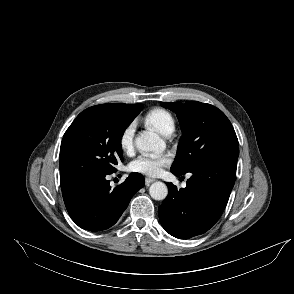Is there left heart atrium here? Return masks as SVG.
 <instances>
[{
	"mask_svg": "<svg viewBox=\"0 0 294 294\" xmlns=\"http://www.w3.org/2000/svg\"><path fill=\"white\" fill-rule=\"evenodd\" d=\"M170 159L167 155H141L129 164L132 172L147 175L158 176L161 174L164 166L168 165Z\"/></svg>",
	"mask_w": 294,
	"mask_h": 294,
	"instance_id": "left-heart-atrium-1",
	"label": "left heart atrium"
}]
</instances>
